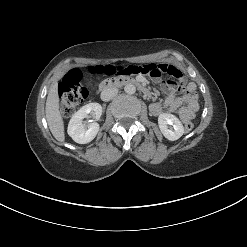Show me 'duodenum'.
<instances>
[{"label":"duodenum","instance_id":"obj_1","mask_svg":"<svg viewBox=\"0 0 247 247\" xmlns=\"http://www.w3.org/2000/svg\"><path fill=\"white\" fill-rule=\"evenodd\" d=\"M134 85L138 88V90L145 96H148L150 94L148 88L144 86L142 83L137 81L134 78H129V77H116V78H111L103 81L98 89H97V94L99 96H103L108 90L122 86V85Z\"/></svg>","mask_w":247,"mask_h":247}]
</instances>
